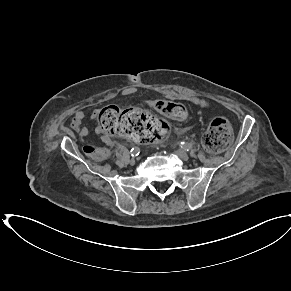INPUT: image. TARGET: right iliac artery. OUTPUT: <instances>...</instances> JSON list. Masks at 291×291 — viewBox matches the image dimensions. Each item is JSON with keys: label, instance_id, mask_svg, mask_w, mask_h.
<instances>
[{"label": "right iliac artery", "instance_id": "obj_1", "mask_svg": "<svg viewBox=\"0 0 291 291\" xmlns=\"http://www.w3.org/2000/svg\"><path fill=\"white\" fill-rule=\"evenodd\" d=\"M131 156H137V155H139V153H140V149L138 148V147H134V148H132L131 149Z\"/></svg>", "mask_w": 291, "mask_h": 291}]
</instances>
